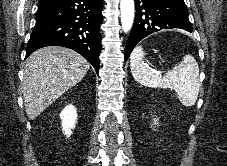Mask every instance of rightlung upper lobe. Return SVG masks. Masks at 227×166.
I'll use <instances>...</instances> for the list:
<instances>
[{"label":"right lung upper lobe","mask_w":227,"mask_h":166,"mask_svg":"<svg viewBox=\"0 0 227 166\" xmlns=\"http://www.w3.org/2000/svg\"><path fill=\"white\" fill-rule=\"evenodd\" d=\"M52 1H54V0H39L38 5L40 6V5H43V4L52 2Z\"/></svg>","instance_id":"obj_1"}]
</instances>
